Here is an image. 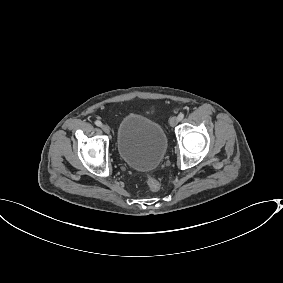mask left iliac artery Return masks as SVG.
<instances>
[{"instance_id":"1","label":"left iliac artery","mask_w":283,"mask_h":283,"mask_svg":"<svg viewBox=\"0 0 283 283\" xmlns=\"http://www.w3.org/2000/svg\"><path fill=\"white\" fill-rule=\"evenodd\" d=\"M184 118V113H179L178 120L181 121Z\"/></svg>"}]
</instances>
